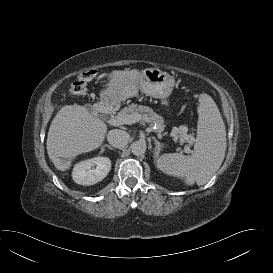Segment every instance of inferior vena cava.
Masks as SVG:
<instances>
[{
	"label": "inferior vena cava",
	"instance_id": "1",
	"mask_svg": "<svg viewBox=\"0 0 273 273\" xmlns=\"http://www.w3.org/2000/svg\"><path fill=\"white\" fill-rule=\"evenodd\" d=\"M130 139L129 133L120 129H113L109 131L107 140L115 148H123L127 145Z\"/></svg>",
	"mask_w": 273,
	"mask_h": 273
}]
</instances>
